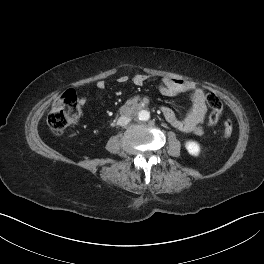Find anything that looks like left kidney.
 Returning <instances> with one entry per match:
<instances>
[{
  "label": "left kidney",
  "mask_w": 264,
  "mask_h": 264,
  "mask_svg": "<svg viewBox=\"0 0 264 264\" xmlns=\"http://www.w3.org/2000/svg\"><path fill=\"white\" fill-rule=\"evenodd\" d=\"M185 147L190 155L198 156L200 153V146L195 141H187Z\"/></svg>",
  "instance_id": "5707ae66"
}]
</instances>
